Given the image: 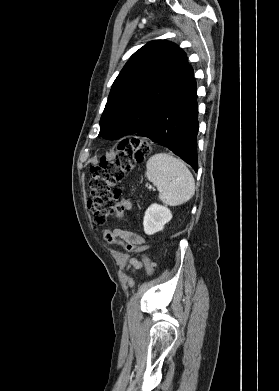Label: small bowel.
Returning <instances> with one entry per match:
<instances>
[{"label":"small bowel","instance_id":"1","mask_svg":"<svg viewBox=\"0 0 279 391\" xmlns=\"http://www.w3.org/2000/svg\"><path fill=\"white\" fill-rule=\"evenodd\" d=\"M122 206L125 209H127V210L131 209V204L127 200H123L122 201ZM110 232H112L115 237L120 238L122 241L130 242V243H132V244H134L136 246H140V245H143L145 243L144 239L140 235H138L136 233H133V232H130V231H125V230L116 228V229H113ZM143 265H145V263L141 262V261H138L137 259H133L131 261V266H132L133 270L139 269Z\"/></svg>","mask_w":279,"mask_h":391}]
</instances>
